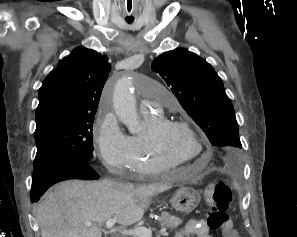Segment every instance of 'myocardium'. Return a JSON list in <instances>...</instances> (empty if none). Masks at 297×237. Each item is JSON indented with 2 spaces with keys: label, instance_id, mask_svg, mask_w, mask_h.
Here are the masks:
<instances>
[{
  "label": "myocardium",
  "instance_id": "obj_1",
  "mask_svg": "<svg viewBox=\"0 0 297 237\" xmlns=\"http://www.w3.org/2000/svg\"><path fill=\"white\" fill-rule=\"evenodd\" d=\"M174 128H184L196 139L200 146V150L196 158H181L169 151L167 147L164 145L163 136L165 132L169 129ZM148 140L154 152L161 159L176 163L178 165H183L196 161L197 158H199L205 150V145L200 135L196 132V130L191 126L190 123L184 120L162 118L149 129Z\"/></svg>",
  "mask_w": 297,
  "mask_h": 237
}]
</instances>
